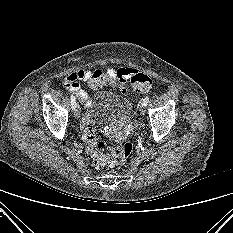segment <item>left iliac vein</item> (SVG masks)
Here are the masks:
<instances>
[{
	"mask_svg": "<svg viewBox=\"0 0 233 233\" xmlns=\"http://www.w3.org/2000/svg\"><path fill=\"white\" fill-rule=\"evenodd\" d=\"M146 106H144L143 102L140 104L139 106V111H140V114L141 115H145V112H146Z\"/></svg>",
	"mask_w": 233,
	"mask_h": 233,
	"instance_id": "obj_1",
	"label": "left iliac vein"
}]
</instances>
